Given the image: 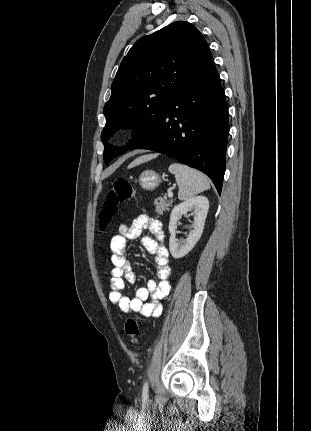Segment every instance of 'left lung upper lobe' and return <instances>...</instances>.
Returning a JSON list of instances; mask_svg holds the SVG:
<instances>
[{"label": "left lung upper lobe", "instance_id": "5c2ea615", "mask_svg": "<svg viewBox=\"0 0 311 431\" xmlns=\"http://www.w3.org/2000/svg\"><path fill=\"white\" fill-rule=\"evenodd\" d=\"M209 51L202 34L190 23L174 22L136 41L122 60L104 106L101 134L105 164L126 151L107 143L120 127L134 128L128 149L155 131L179 89Z\"/></svg>", "mask_w": 311, "mask_h": 431}]
</instances>
